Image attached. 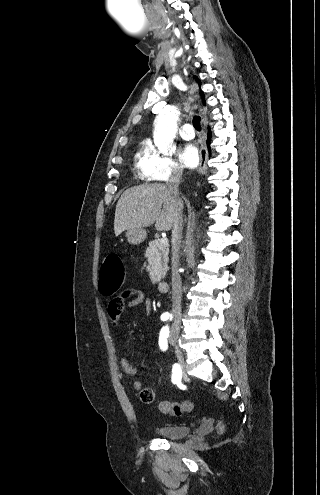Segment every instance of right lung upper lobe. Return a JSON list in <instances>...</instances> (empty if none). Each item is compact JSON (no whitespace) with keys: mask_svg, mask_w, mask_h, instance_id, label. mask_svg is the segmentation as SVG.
<instances>
[{"mask_svg":"<svg viewBox=\"0 0 320 495\" xmlns=\"http://www.w3.org/2000/svg\"><path fill=\"white\" fill-rule=\"evenodd\" d=\"M195 80L197 81L198 85H201L200 79L197 76H194ZM201 98L203 100V103L205 104V98H204V93L200 91Z\"/></svg>","mask_w":320,"mask_h":495,"instance_id":"obj_1","label":"right lung upper lobe"}]
</instances>
